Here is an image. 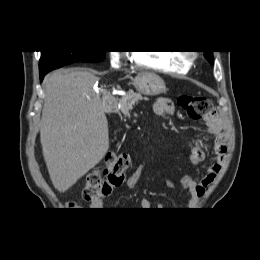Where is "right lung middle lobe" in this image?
<instances>
[{
	"instance_id": "right-lung-middle-lobe-1",
	"label": "right lung middle lobe",
	"mask_w": 260,
	"mask_h": 260,
	"mask_svg": "<svg viewBox=\"0 0 260 260\" xmlns=\"http://www.w3.org/2000/svg\"><path fill=\"white\" fill-rule=\"evenodd\" d=\"M105 58V51H42L39 71H49L73 62H100Z\"/></svg>"
}]
</instances>
